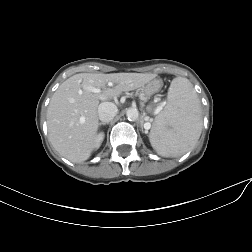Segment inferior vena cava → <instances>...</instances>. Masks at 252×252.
Wrapping results in <instances>:
<instances>
[{
    "label": "inferior vena cava",
    "mask_w": 252,
    "mask_h": 252,
    "mask_svg": "<svg viewBox=\"0 0 252 252\" xmlns=\"http://www.w3.org/2000/svg\"><path fill=\"white\" fill-rule=\"evenodd\" d=\"M118 108L114 103L103 102L98 107V116L102 122H110L117 114Z\"/></svg>",
    "instance_id": "inferior-vena-cava-1"
}]
</instances>
